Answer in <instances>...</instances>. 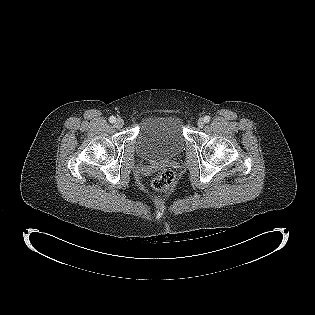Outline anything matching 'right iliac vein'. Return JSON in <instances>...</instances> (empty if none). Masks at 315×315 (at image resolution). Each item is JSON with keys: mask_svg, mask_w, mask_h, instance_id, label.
Returning <instances> with one entry per match:
<instances>
[{"mask_svg": "<svg viewBox=\"0 0 315 315\" xmlns=\"http://www.w3.org/2000/svg\"><path fill=\"white\" fill-rule=\"evenodd\" d=\"M124 125V121H123V119H121V118H118L116 121H115V127L116 128H122V126Z\"/></svg>", "mask_w": 315, "mask_h": 315, "instance_id": "1", "label": "right iliac vein"}]
</instances>
